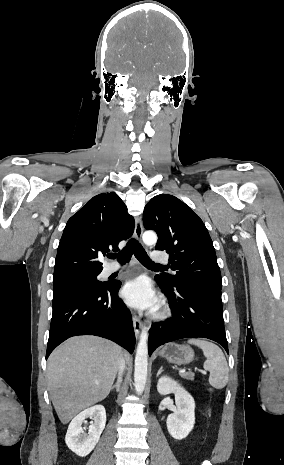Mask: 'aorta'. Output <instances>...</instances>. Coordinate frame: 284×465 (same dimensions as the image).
Here are the masks:
<instances>
[{"label":"aorta","instance_id":"1","mask_svg":"<svg viewBox=\"0 0 284 465\" xmlns=\"http://www.w3.org/2000/svg\"><path fill=\"white\" fill-rule=\"evenodd\" d=\"M143 242L146 245H154L157 242V236L152 231L144 232L142 236ZM147 366H148V334L143 330L140 335V340L136 350L135 356V371L134 381L135 390L137 394H142L144 391L147 380Z\"/></svg>","mask_w":284,"mask_h":465}]
</instances>
